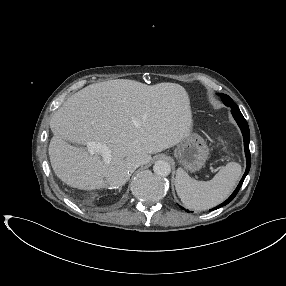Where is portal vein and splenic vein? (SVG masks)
<instances>
[{
    "label": "portal vein and splenic vein",
    "mask_w": 286,
    "mask_h": 286,
    "mask_svg": "<svg viewBox=\"0 0 286 286\" xmlns=\"http://www.w3.org/2000/svg\"><path fill=\"white\" fill-rule=\"evenodd\" d=\"M87 151L93 155V154H100L103 158V161L105 164H109L112 159L111 150L109 147L105 144H102L100 142H94L90 141L87 143Z\"/></svg>",
    "instance_id": "obj_1"
}]
</instances>
